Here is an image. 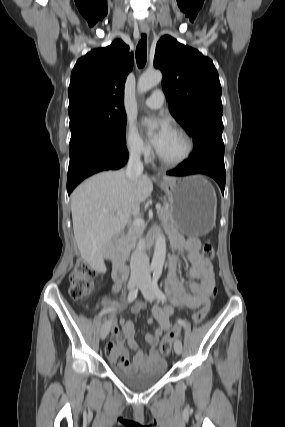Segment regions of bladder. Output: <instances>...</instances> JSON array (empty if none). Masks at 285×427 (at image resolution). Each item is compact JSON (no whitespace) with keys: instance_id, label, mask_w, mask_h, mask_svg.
I'll return each mask as SVG.
<instances>
[{"instance_id":"bladder-1","label":"bladder","mask_w":285,"mask_h":427,"mask_svg":"<svg viewBox=\"0 0 285 427\" xmlns=\"http://www.w3.org/2000/svg\"><path fill=\"white\" fill-rule=\"evenodd\" d=\"M116 376L127 386L135 390H145L155 385L166 373V364L163 361L159 366L150 370L131 371L127 368L114 367Z\"/></svg>"}]
</instances>
